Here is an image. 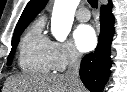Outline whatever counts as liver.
Masks as SVG:
<instances>
[{"instance_id":"liver-1","label":"liver","mask_w":127,"mask_h":92,"mask_svg":"<svg viewBox=\"0 0 127 92\" xmlns=\"http://www.w3.org/2000/svg\"><path fill=\"white\" fill-rule=\"evenodd\" d=\"M4 92H87L80 82L75 86L64 74L28 75L9 77Z\"/></svg>"}]
</instances>
